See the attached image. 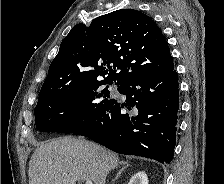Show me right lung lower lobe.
Returning a JSON list of instances; mask_svg holds the SVG:
<instances>
[{"label": "right lung lower lobe", "instance_id": "1", "mask_svg": "<svg viewBox=\"0 0 224 184\" xmlns=\"http://www.w3.org/2000/svg\"><path fill=\"white\" fill-rule=\"evenodd\" d=\"M125 103L115 100L96 120L77 129L82 135L121 154L173 159L179 108L174 67L133 78L121 85ZM123 108L132 110L125 113Z\"/></svg>", "mask_w": 224, "mask_h": 184}]
</instances>
